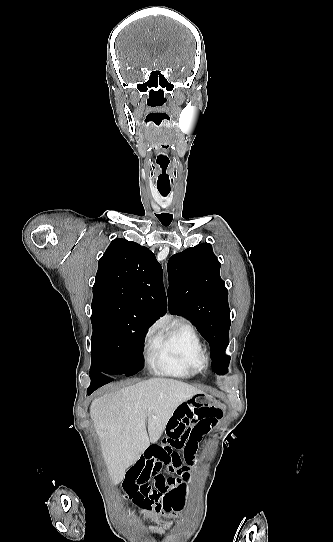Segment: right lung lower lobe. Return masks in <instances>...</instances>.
<instances>
[{
    "mask_svg": "<svg viewBox=\"0 0 333 542\" xmlns=\"http://www.w3.org/2000/svg\"><path fill=\"white\" fill-rule=\"evenodd\" d=\"M91 385L87 389V394H91L94 390L98 389L102 385L110 382L112 379L107 377L105 373L90 370Z\"/></svg>",
    "mask_w": 333,
    "mask_h": 542,
    "instance_id": "1",
    "label": "right lung lower lobe"
}]
</instances>
